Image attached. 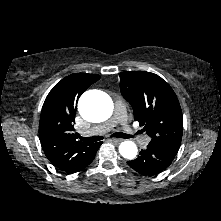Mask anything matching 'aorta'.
Here are the masks:
<instances>
[{"label":"aorta","instance_id":"1","mask_svg":"<svg viewBox=\"0 0 221 221\" xmlns=\"http://www.w3.org/2000/svg\"><path fill=\"white\" fill-rule=\"evenodd\" d=\"M78 110L85 120L100 122L111 116L113 105L107 95L90 91L81 96L78 103ZM137 151V146L133 141H123L119 145V152L126 159H134Z\"/></svg>","mask_w":221,"mask_h":221}]
</instances>
